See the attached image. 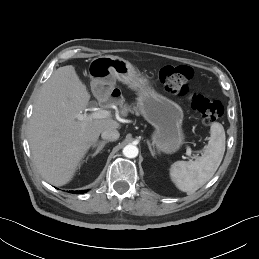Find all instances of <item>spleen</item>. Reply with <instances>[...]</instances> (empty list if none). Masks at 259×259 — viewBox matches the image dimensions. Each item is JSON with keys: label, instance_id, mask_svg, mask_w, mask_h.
Masks as SVG:
<instances>
[{"label": "spleen", "instance_id": "1", "mask_svg": "<svg viewBox=\"0 0 259 259\" xmlns=\"http://www.w3.org/2000/svg\"><path fill=\"white\" fill-rule=\"evenodd\" d=\"M225 139L223 126L215 122L210 127L209 142L202 156L195 161H176L171 165L170 177L179 190L192 194L213 177L224 156Z\"/></svg>", "mask_w": 259, "mask_h": 259}]
</instances>
